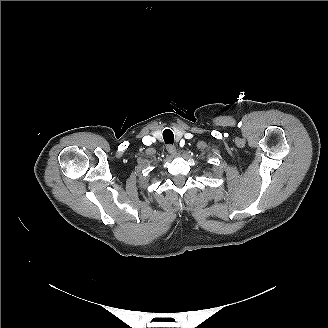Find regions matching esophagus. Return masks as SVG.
I'll use <instances>...</instances> for the list:
<instances>
[{"instance_id": "34e87169", "label": "esophagus", "mask_w": 328, "mask_h": 328, "mask_svg": "<svg viewBox=\"0 0 328 328\" xmlns=\"http://www.w3.org/2000/svg\"><path fill=\"white\" fill-rule=\"evenodd\" d=\"M166 149H167L168 153L171 155L177 154V150H176L175 146H173L171 144L167 145Z\"/></svg>"}]
</instances>
